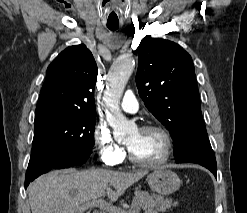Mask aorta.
Returning <instances> with one entry per match:
<instances>
[{"label": "aorta", "instance_id": "762f6f07", "mask_svg": "<svg viewBox=\"0 0 247 213\" xmlns=\"http://www.w3.org/2000/svg\"><path fill=\"white\" fill-rule=\"evenodd\" d=\"M134 59L130 55L120 57L111 67L103 100L107 107V121L114 134L125 135L135 128L122 114L119 103L124 88L133 72Z\"/></svg>", "mask_w": 247, "mask_h": 213}]
</instances>
